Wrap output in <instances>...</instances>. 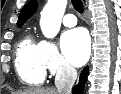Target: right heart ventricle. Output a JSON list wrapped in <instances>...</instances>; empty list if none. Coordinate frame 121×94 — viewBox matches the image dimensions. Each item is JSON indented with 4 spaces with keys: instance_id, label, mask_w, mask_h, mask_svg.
<instances>
[{
    "instance_id": "right-heart-ventricle-1",
    "label": "right heart ventricle",
    "mask_w": 121,
    "mask_h": 94,
    "mask_svg": "<svg viewBox=\"0 0 121 94\" xmlns=\"http://www.w3.org/2000/svg\"><path fill=\"white\" fill-rule=\"evenodd\" d=\"M15 66L22 83L28 86L43 84L46 70L42 62L40 43H36L29 34L19 41Z\"/></svg>"
}]
</instances>
